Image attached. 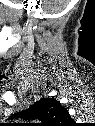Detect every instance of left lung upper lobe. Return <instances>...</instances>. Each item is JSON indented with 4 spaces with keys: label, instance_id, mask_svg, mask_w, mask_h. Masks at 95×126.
I'll return each instance as SVG.
<instances>
[{
    "label": "left lung upper lobe",
    "instance_id": "5c2ea615",
    "mask_svg": "<svg viewBox=\"0 0 95 126\" xmlns=\"http://www.w3.org/2000/svg\"><path fill=\"white\" fill-rule=\"evenodd\" d=\"M14 118L42 121L36 124L37 126H67L71 121L68 110L59 101L49 97L40 99L28 109L13 114L9 119Z\"/></svg>",
    "mask_w": 95,
    "mask_h": 126
}]
</instances>
